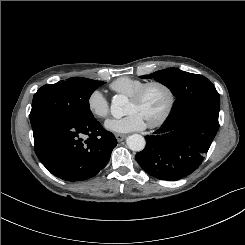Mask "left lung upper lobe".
<instances>
[{"label": "left lung upper lobe", "mask_w": 245, "mask_h": 245, "mask_svg": "<svg viewBox=\"0 0 245 245\" xmlns=\"http://www.w3.org/2000/svg\"><path fill=\"white\" fill-rule=\"evenodd\" d=\"M140 77L143 79L154 78L167 86L176 96L177 99L165 122H169L193 108L212 107L220 109V98L217 90L202 75L188 73L177 68H167Z\"/></svg>", "instance_id": "left-lung-upper-lobe-1"}]
</instances>
